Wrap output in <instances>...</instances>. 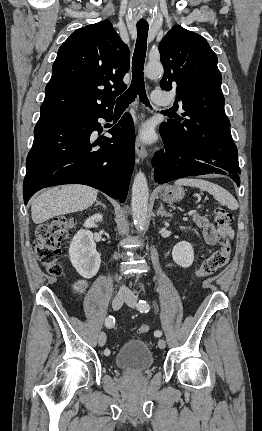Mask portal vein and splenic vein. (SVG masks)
I'll return each mask as SVG.
<instances>
[{
  "mask_svg": "<svg viewBox=\"0 0 262 431\" xmlns=\"http://www.w3.org/2000/svg\"><path fill=\"white\" fill-rule=\"evenodd\" d=\"M196 213V211L195 210H190L189 212H188V214L189 215H193V214H195Z\"/></svg>",
  "mask_w": 262,
  "mask_h": 431,
  "instance_id": "1",
  "label": "portal vein and splenic vein"
}]
</instances>
